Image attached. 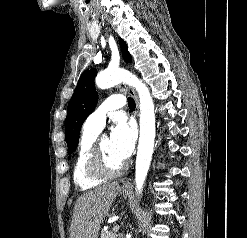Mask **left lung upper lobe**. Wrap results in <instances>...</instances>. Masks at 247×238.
Wrapping results in <instances>:
<instances>
[{
	"label": "left lung upper lobe",
	"mask_w": 247,
	"mask_h": 238,
	"mask_svg": "<svg viewBox=\"0 0 247 238\" xmlns=\"http://www.w3.org/2000/svg\"><path fill=\"white\" fill-rule=\"evenodd\" d=\"M119 43L124 60L129 62L131 55L126 43L121 38ZM95 75L96 70L94 69L83 72L68 104L65 132L69 154L76 150L81 125L97 104L98 97L94 85Z\"/></svg>",
	"instance_id": "obj_1"
}]
</instances>
